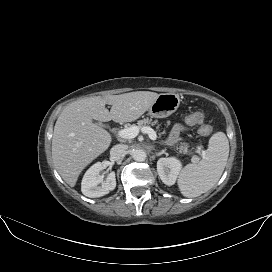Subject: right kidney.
Instances as JSON below:
<instances>
[{
	"instance_id": "ca27d5eb",
	"label": "right kidney",
	"mask_w": 272,
	"mask_h": 272,
	"mask_svg": "<svg viewBox=\"0 0 272 272\" xmlns=\"http://www.w3.org/2000/svg\"><path fill=\"white\" fill-rule=\"evenodd\" d=\"M102 168L103 163L97 162L86 171L81 183V191L85 196L101 197L115 189V173L111 172L104 181V176L99 174Z\"/></svg>"
}]
</instances>
